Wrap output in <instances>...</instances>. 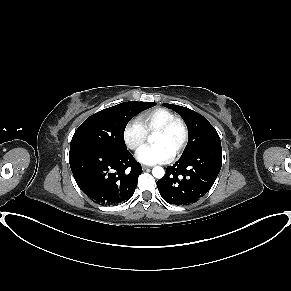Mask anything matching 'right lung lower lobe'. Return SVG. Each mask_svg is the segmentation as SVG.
I'll use <instances>...</instances> for the list:
<instances>
[{
	"mask_svg": "<svg viewBox=\"0 0 291 291\" xmlns=\"http://www.w3.org/2000/svg\"><path fill=\"white\" fill-rule=\"evenodd\" d=\"M69 160L79 188L101 205L129 200L142 173L140 163L128 150H77L69 153Z\"/></svg>",
	"mask_w": 291,
	"mask_h": 291,
	"instance_id": "1",
	"label": "right lung lower lobe"
}]
</instances>
